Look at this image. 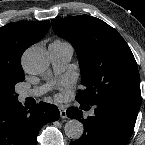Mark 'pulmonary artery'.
<instances>
[{
  "label": "pulmonary artery",
  "mask_w": 145,
  "mask_h": 145,
  "mask_svg": "<svg viewBox=\"0 0 145 145\" xmlns=\"http://www.w3.org/2000/svg\"><path fill=\"white\" fill-rule=\"evenodd\" d=\"M49 53L52 61L53 68L57 74L64 71L67 64L69 63L73 49L71 45L64 44V45H57V44H50L49 45ZM47 90L46 86L37 87L33 89H26L22 90L19 93L20 100H25L28 97H38L42 95Z\"/></svg>",
  "instance_id": "obj_1"
}]
</instances>
